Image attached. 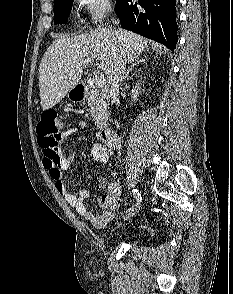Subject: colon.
Masks as SVG:
<instances>
[{
    "mask_svg": "<svg viewBox=\"0 0 233 294\" xmlns=\"http://www.w3.org/2000/svg\"><path fill=\"white\" fill-rule=\"evenodd\" d=\"M64 124L55 110L44 111L41 120L37 125L38 142L43 149L45 156H59V144L63 139ZM111 208H116L119 203L115 201L107 202Z\"/></svg>",
    "mask_w": 233,
    "mask_h": 294,
    "instance_id": "obj_1",
    "label": "colon"
}]
</instances>
